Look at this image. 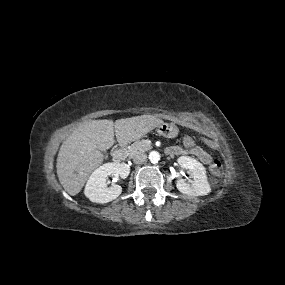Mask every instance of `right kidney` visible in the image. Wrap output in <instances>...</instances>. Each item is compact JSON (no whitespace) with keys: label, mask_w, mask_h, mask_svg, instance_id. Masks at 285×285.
Here are the masks:
<instances>
[{"label":"right kidney","mask_w":285,"mask_h":285,"mask_svg":"<svg viewBox=\"0 0 285 285\" xmlns=\"http://www.w3.org/2000/svg\"><path fill=\"white\" fill-rule=\"evenodd\" d=\"M130 168L125 163H105L97 168L89 177L84 194L94 203H108L116 199L122 192L120 185L114 184L107 187L106 180L109 176L126 178Z\"/></svg>","instance_id":"right-kidney-1"}]
</instances>
